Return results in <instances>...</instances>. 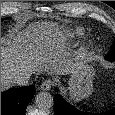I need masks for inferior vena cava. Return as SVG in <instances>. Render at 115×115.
Instances as JSON below:
<instances>
[{
    "instance_id": "inferior-vena-cava-1",
    "label": "inferior vena cava",
    "mask_w": 115,
    "mask_h": 115,
    "mask_svg": "<svg viewBox=\"0 0 115 115\" xmlns=\"http://www.w3.org/2000/svg\"><path fill=\"white\" fill-rule=\"evenodd\" d=\"M32 72H20L14 77L13 82L18 86H26L29 83Z\"/></svg>"
}]
</instances>
